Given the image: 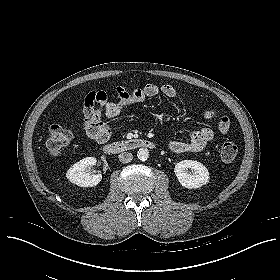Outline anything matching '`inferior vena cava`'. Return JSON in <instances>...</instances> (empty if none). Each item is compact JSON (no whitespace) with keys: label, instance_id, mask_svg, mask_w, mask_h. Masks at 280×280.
<instances>
[{"label":"inferior vena cava","instance_id":"1","mask_svg":"<svg viewBox=\"0 0 280 280\" xmlns=\"http://www.w3.org/2000/svg\"><path fill=\"white\" fill-rule=\"evenodd\" d=\"M133 159L132 153L129 152H123L119 155V160L121 163H129Z\"/></svg>","mask_w":280,"mask_h":280}]
</instances>
